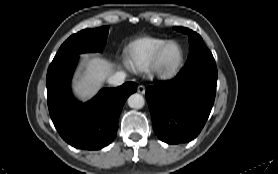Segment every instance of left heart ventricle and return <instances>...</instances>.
Wrapping results in <instances>:
<instances>
[{"label":"left heart ventricle","instance_id":"obj_1","mask_svg":"<svg viewBox=\"0 0 278 174\" xmlns=\"http://www.w3.org/2000/svg\"><path fill=\"white\" fill-rule=\"evenodd\" d=\"M180 52L176 45H171L165 49L161 56V66L165 69L173 67L179 60Z\"/></svg>","mask_w":278,"mask_h":174}]
</instances>
